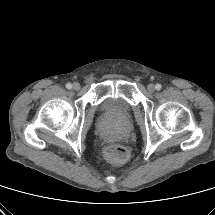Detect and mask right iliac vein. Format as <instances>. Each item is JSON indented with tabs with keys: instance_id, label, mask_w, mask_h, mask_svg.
Masks as SVG:
<instances>
[{
	"instance_id": "1",
	"label": "right iliac vein",
	"mask_w": 215,
	"mask_h": 215,
	"mask_svg": "<svg viewBox=\"0 0 215 215\" xmlns=\"http://www.w3.org/2000/svg\"><path fill=\"white\" fill-rule=\"evenodd\" d=\"M73 89H74L75 91H78V90L80 89V84L77 83V82H75V83L73 84Z\"/></svg>"
}]
</instances>
